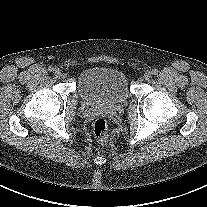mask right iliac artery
Listing matches in <instances>:
<instances>
[{"label":"right iliac artery","instance_id":"1","mask_svg":"<svg viewBox=\"0 0 207 207\" xmlns=\"http://www.w3.org/2000/svg\"><path fill=\"white\" fill-rule=\"evenodd\" d=\"M48 70H49L50 72H52V71L54 70V68H53L52 66H49V67H48Z\"/></svg>","mask_w":207,"mask_h":207}]
</instances>
